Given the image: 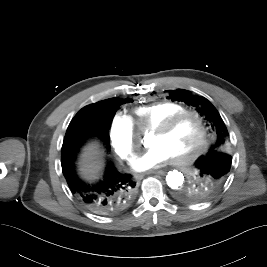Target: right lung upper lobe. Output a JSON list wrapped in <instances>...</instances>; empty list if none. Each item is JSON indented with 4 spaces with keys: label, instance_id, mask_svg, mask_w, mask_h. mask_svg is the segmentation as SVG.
I'll list each match as a JSON object with an SVG mask.
<instances>
[{
    "label": "right lung upper lobe",
    "instance_id": "cb5924a9",
    "mask_svg": "<svg viewBox=\"0 0 267 267\" xmlns=\"http://www.w3.org/2000/svg\"><path fill=\"white\" fill-rule=\"evenodd\" d=\"M115 99H118V98H115ZM109 100L110 99H107V100L100 101V102L95 103V104L88 105V106L84 107L83 109H81L79 112H82L83 110L88 109V108H102V104H104L105 102H107ZM118 100H123V101H126L127 102V99L126 100H124V99H118Z\"/></svg>",
    "mask_w": 267,
    "mask_h": 267
}]
</instances>
